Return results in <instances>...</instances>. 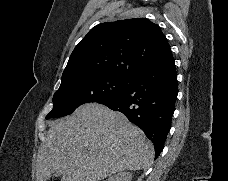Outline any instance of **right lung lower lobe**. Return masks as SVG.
Wrapping results in <instances>:
<instances>
[{
	"mask_svg": "<svg viewBox=\"0 0 228 181\" xmlns=\"http://www.w3.org/2000/svg\"><path fill=\"white\" fill-rule=\"evenodd\" d=\"M177 73L171 55L135 73L115 99L101 104L126 115L152 141L157 158L170 130L177 99Z\"/></svg>",
	"mask_w": 228,
	"mask_h": 181,
	"instance_id": "98d812e1",
	"label": "right lung lower lobe"
}]
</instances>
